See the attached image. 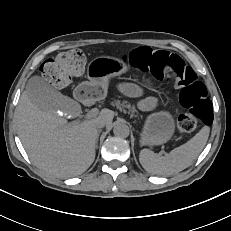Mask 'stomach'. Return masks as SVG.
Returning <instances> with one entry per match:
<instances>
[{
    "label": "stomach",
    "instance_id": "0dacf381",
    "mask_svg": "<svg viewBox=\"0 0 231 231\" xmlns=\"http://www.w3.org/2000/svg\"><path fill=\"white\" fill-rule=\"evenodd\" d=\"M127 71L119 59L114 57H98L88 64L89 81L81 83L75 89L76 98L81 102H92L104 99L110 77ZM150 88L149 85H146ZM175 132V123L169 112L161 111L147 117L143 127L141 143L161 145L169 141Z\"/></svg>",
    "mask_w": 231,
    "mask_h": 231
}]
</instances>
